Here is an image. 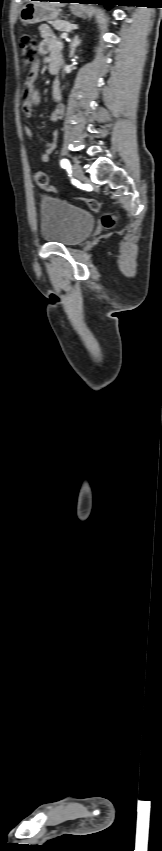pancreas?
Returning <instances> with one entry per match:
<instances>
[{"label":"pancreas","mask_w":162,"mask_h":851,"mask_svg":"<svg viewBox=\"0 0 162 851\" xmlns=\"http://www.w3.org/2000/svg\"><path fill=\"white\" fill-rule=\"evenodd\" d=\"M52 26L58 31L67 32L74 29L76 26L74 24L69 23L68 21L63 20H55L51 22Z\"/></svg>","instance_id":"obj_1"}]
</instances>
